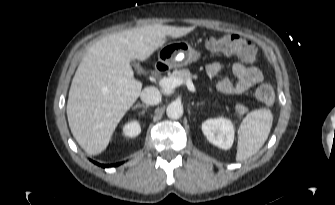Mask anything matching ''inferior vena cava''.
Masks as SVG:
<instances>
[{
	"mask_svg": "<svg viewBox=\"0 0 335 205\" xmlns=\"http://www.w3.org/2000/svg\"><path fill=\"white\" fill-rule=\"evenodd\" d=\"M142 102L146 105H157L161 102L162 95L155 87H146L140 94Z\"/></svg>",
	"mask_w": 335,
	"mask_h": 205,
	"instance_id": "602c4592",
	"label": "inferior vena cava"
}]
</instances>
